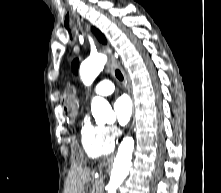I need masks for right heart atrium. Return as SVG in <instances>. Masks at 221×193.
Instances as JSON below:
<instances>
[{
	"mask_svg": "<svg viewBox=\"0 0 221 193\" xmlns=\"http://www.w3.org/2000/svg\"><path fill=\"white\" fill-rule=\"evenodd\" d=\"M105 133H106V136L109 140H114L117 136V131H116V128L113 127V126H107L105 127Z\"/></svg>",
	"mask_w": 221,
	"mask_h": 193,
	"instance_id": "d8ad5b80",
	"label": "right heart atrium"
}]
</instances>
